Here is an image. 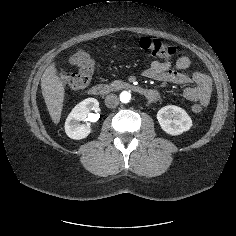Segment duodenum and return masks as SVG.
<instances>
[{"label": "duodenum", "instance_id": "duodenum-1", "mask_svg": "<svg viewBox=\"0 0 236 236\" xmlns=\"http://www.w3.org/2000/svg\"><path fill=\"white\" fill-rule=\"evenodd\" d=\"M114 89H124L136 92L143 97L151 98L155 93L151 89L143 88L130 82H114L110 84H94L90 87L89 93L93 96H103Z\"/></svg>", "mask_w": 236, "mask_h": 236}]
</instances>
